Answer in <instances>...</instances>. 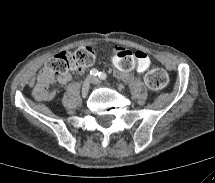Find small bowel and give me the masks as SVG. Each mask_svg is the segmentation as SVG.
<instances>
[{"label":"small bowel","mask_w":215,"mask_h":183,"mask_svg":"<svg viewBox=\"0 0 215 183\" xmlns=\"http://www.w3.org/2000/svg\"><path fill=\"white\" fill-rule=\"evenodd\" d=\"M121 46H116L114 48V58L112 60V65L115 70V75L117 78L128 81L132 76H139L145 74L150 68V57L149 55L139 49L126 50ZM83 72V70L79 71ZM44 70L41 71L35 83L32 87V95L38 101L52 100L56 97L57 92L55 90L49 91V86L54 82V80H43ZM72 80V75L68 73L67 75L57 79V82L66 85Z\"/></svg>","instance_id":"1"}]
</instances>
